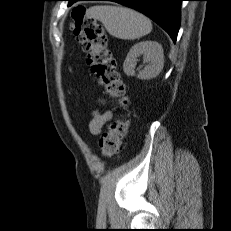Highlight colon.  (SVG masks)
<instances>
[{
  "mask_svg": "<svg viewBox=\"0 0 231 231\" xmlns=\"http://www.w3.org/2000/svg\"><path fill=\"white\" fill-rule=\"evenodd\" d=\"M72 31L77 41L87 53V64L105 92L120 107H127L129 100L126 87L116 68V61L108 48V37L103 26L83 6L72 10ZM128 131V121L114 119L108 129L101 135L99 149L104 156L116 155L121 141Z\"/></svg>",
  "mask_w": 231,
  "mask_h": 231,
  "instance_id": "obj_1",
  "label": "colon"
}]
</instances>
